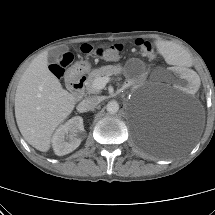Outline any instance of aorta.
Returning <instances> with one entry per match:
<instances>
[{
    "label": "aorta",
    "mask_w": 215,
    "mask_h": 215,
    "mask_svg": "<svg viewBox=\"0 0 215 215\" xmlns=\"http://www.w3.org/2000/svg\"><path fill=\"white\" fill-rule=\"evenodd\" d=\"M107 112L110 114H115L119 110V104L117 101H110L106 106Z\"/></svg>",
    "instance_id": "aorta-1"
}]
</instances>
